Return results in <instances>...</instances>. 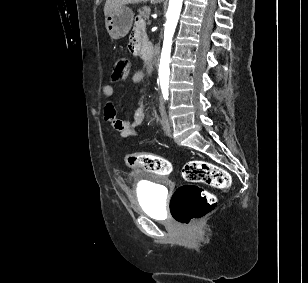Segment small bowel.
I'll list each match as a JSON object with an SVG mask.
<instances>
[{
    "label": "small bowel",
    "mask_w": 308,
    "mask_h": 283,
    "mask_svg": "<svg viewBox=\"0 0 308 283\" xmlns=\"http://www.w3.org/2000/svg\"><path fill=\"white\" fill-rule=\"evenodd\" d=\"M145 39V22L142 18H137L128 41V51L133 55L141 53L142 42ZM144 79L142 71L136 72L132 80L134 83H140ZM103 94L108 99L104 107V119L120 134L127 138L137 136L141 131V126L146 117V109L138 107L132 114L131 119H121L118 117L117 109L114 104V88L111 85L103 87Z\"/></svg>",
    "instance_id": "small-bowel-1"
}]
</instances>
